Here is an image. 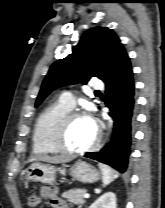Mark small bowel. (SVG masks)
I'll list each match as a JSON object with an SVG mask.
<instances>
[{"label": "small bowel", "mask_w": 165, "mask_h": 208, "mask_svg": "<svg viewBox=\"0 0 165 208\" xmlns=\"http://www.w3.org/2000/svg\"><path fill=\"white\" fill-rule=\"evenodd\" d=\"M41 195L50 201L51 208H69L68 205L59 198L57 187L43 186L41 188Z\"/></svg>", "instance_id": "c3829d8e"}]
</instances>
